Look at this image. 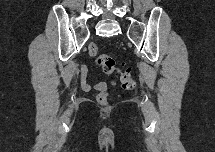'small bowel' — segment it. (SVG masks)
I'll use <instances>...</instances> for the list:
<instances>
[{
	"label": "small bowel",
	"instance_id": "obj_1",
	"mask_svg": "<svg viewBox=\"0 0 215 152\" xmlns=\"http://www.w3.org/2000/svg\"><path fill=\"white\" fill-rule=\"evenodd\" d=\"M82 78H81V85L84 90H90L91 88L97 90V91H104L106 90L107 86L104 82H96L91 86L87 80H86V68H83L82 70Z\"/></svg>",
	"mask_w": 215,
	"mask_h": 152
}]
</instances>
